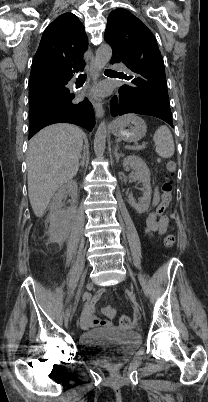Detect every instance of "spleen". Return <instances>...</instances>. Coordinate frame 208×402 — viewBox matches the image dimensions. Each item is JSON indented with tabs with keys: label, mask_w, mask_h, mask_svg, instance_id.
I'll use <instances>...</instances> for the list:
<instances>
[{
	"label": "spleen",
	"mask_w": 208,
	"mask_h": 402,
	"mask_svg": "<svg viewBox=\"0 0 208 402\" xmlns=\"http://www.w3.org/2000/svg\"><path fill=\"white\" fill-rule=\"evenodd\" d=\"M153 140L158 156H161V158H172L175 152L174 140L167 126H160V128L156 130Z\"/></svg>",
	"instance_id": "obj_1"
}]
</instances>
